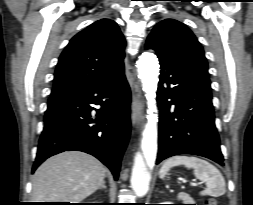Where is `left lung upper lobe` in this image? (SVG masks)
I'll return each instance as SVG.
<instances>
[{
  "label": "left lung upper lobe",
  "mask_w": 253,
  "mask_h": 205,
  "mask_svg": "<svg viewBox=\"0 0 253 205\" xmlns=\"http://www.w3.org/2000/svg\"><path fill=\"white\" fill-rule=\"evenodd\" d=\"M146 47L184 64L210 84L203 48L183 23L174 19L161 21L148 36Z\"/></svg>",
  "instance_id": "5c2ea615"
}]
</instances>
